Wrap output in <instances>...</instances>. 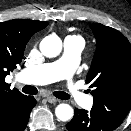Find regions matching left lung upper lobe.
Returning <instances> with one entry per match:
<instances>
[{
    "label": "left lung upper lobe",
    "mask_w": 131,
    "mask_h": 131,
    "mask_svg": "<svg viewBox=\"0 0 131 131\" xmlns=\"http://www.w3.org/2000/svg\"><path fill=\"white\" fill-rule=\"evenodd\" d=\"M96 52L86 83L93 88L92 110L117 128L131 109V45L119 31L91 25Z\"/></svg>",
    "instance_id": "5c2ea615"
}]
</instances>
